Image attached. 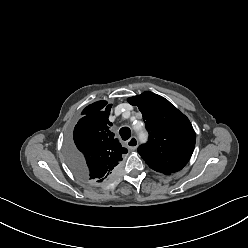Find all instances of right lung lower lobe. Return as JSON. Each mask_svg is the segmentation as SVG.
I'll list each match as a JSON object with an SVG mask.
<instances>
[{
    "instance_id": "obj_1",
    "label": "right lung lower lobe",
    "mask_w": 248,
    "mask_h": 248,
    "mask_svg": "<svg viewBox=\"0 0 248 248\" xmlns=\"http://www.w3.org/2000/svg\"><path fill=\"white\" fill-rule=\"evenodd\" d=\"M74 161V165H75V167H76V170H78V168H79V166H80V155L76 152V155L74 156V159H73ZM118 169L119 168H116V169H114L112 172H110V175L106 178V180L105 181H108V180H110L111 178H113V177H115V175L117 174V172H118ZM79 177H81L82 179H84V180H87V179H85L83 176H81V175H79V174H77ZM104 180V178H97V179H92V180H89L90 182H93V183H98V182H100V181H103Z\"/></svg>"
}]
</instances>
